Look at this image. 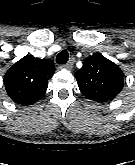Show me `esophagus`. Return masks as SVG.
Returning <instances> with one entry per match:
<instances>
[{"label": "esophagus", "mask_w": 135, "mask_h": 165, "mask_svg": "<svg viewBox=\"0 0 135 165\" xmlns=\"http://www.w3.org/2000/svg\"><path fill=\"white\" fill-rule=\"evenodd\" d=\"M75 59L74 57H71L69 59V61L65 64V68L66 69H72L73 65H74Z\"/></svg>", "instance_id": "34e87169"}]
</instances>
